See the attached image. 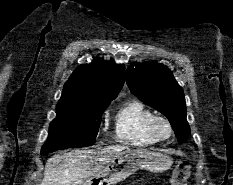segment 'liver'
<instances>
[{"instance_id":"6515ba94","label":"liver","mask_w":233,"mask_h":185,"mask_svg":"<svg viewBox=\"0 0 233 185\" xmlns=\"http://www.w3.org/2000/svg\"><path fill=\"white\" fill-rule=\"evenodd\" d=\"M126 148L122 145H112L54 155L46 162L41 185H80L101 171Z\"/></svg>"}]
</instances>
